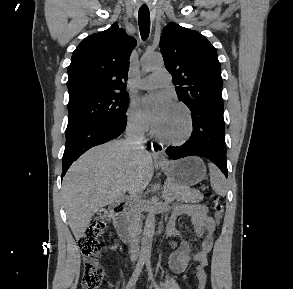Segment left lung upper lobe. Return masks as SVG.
Here are the masks:
<instances>
[{
    "label": "left lung upper lobe",
    "instance_id": "1",
    "mask_svg": "<svg viewBox=\"0 0 293 289\" xmlns=\"http://www.w3.org/2000/svg\"><path fill=\"white\" fill-rule=\"evenodd\" d=\"M160 48L179 99L191 111L200 107L223 111L221 66L211 43L197 31L169 23Z\"/></svg>",
    "mask_w": 293,
    "mask_h": 289
}]
</instances>
